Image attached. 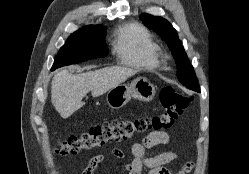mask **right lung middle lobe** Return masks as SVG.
Instances as JSON below:
<instances>
[{"label": "right lung middle lobe", "mask_w": 249, "mask_h": 174, "mask_svg": "<svg viewBox=\"0 0 249 174\" xmlns=\"http://www.w3.org/2000/svg\"><path fill=\"white\" fill-rule=\"evenodd\" d=\"M106 27L90 25L71 34L55 58L52 71L62 66L77 64L108 55L105 43Z\"/></svg>", "instance_id": "right-lung-middle-lobe-1"}]
</instances>
